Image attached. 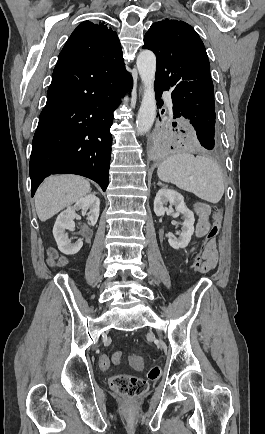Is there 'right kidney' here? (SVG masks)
Masks as SVG:
<instances>
[{
	"label": "right kidney",
	"instance_id": "right-kidney-1",
	"mask_svg": "<svg viewBox=\"0 0 265 434\" xmlns=\"http://www.w3.org/2000/svg\"><path fill=\"white\" fill-rule=\"evenodd\" d=\"M78 210H83L84 216H87V220H90L91 226H95L100 212L99 198H97L93 192V194H88V196L80 198V200H77L75 206H70V208H67V210L59 214L54 224L53 236L56 240L58 250H60L62 254H66V256L77 254L83 246L82 240L76 242V244H71L66 232V230L75 228V222H73V220L78 216V214H76ZM86 210H90L89 214H85Z\"/></svg>",
	"mask_w": 265,
	"mask_h": 434
}]
</instances>
